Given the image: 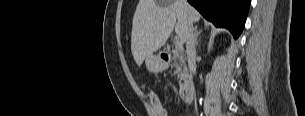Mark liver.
<instances>
[{
    "mask_svg": "<svg viewBox=\"0 0 305 116\" xmlns=\"http://www.w3.org/2000/svg\"><path fill=\"white\" fill-rule=\"evenodd\" d=\"M200 20L199 12L185 0H140L133 17L131 51L136 64L165 45L175 29L186 42L188 22Z\"/></svg>",
    "mask_w": 305,
    "mask_h": 116,
    "instance_id": "liver-1",
    "label": "liver"
}]
</instances>
